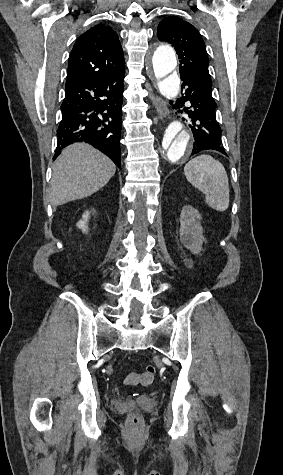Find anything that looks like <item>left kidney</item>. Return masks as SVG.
Returning a JSON list of instances; mask_svg holds the SVG:
<instances>
[{
    "label": "left kidney",
    "mask_w": 283,
    "mask_h": 475,
    "mask_svg": "<svg viewBox=\"0 0 283 475\" xmlns=\"http://www.w3.org/2000/svg\"><path fill=\"white\" fill-rule=\"evenodd\" d=\"M180 224L181 243L191 249L192 253H200L204 241L201 214L192 206H184L180 214Z\"/></svg>",
    "instance_id": "obj_1"
}]
</instances>
